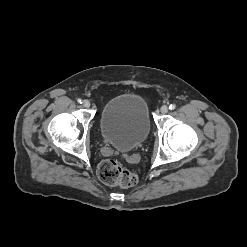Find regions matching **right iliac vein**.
<instances>
[{
  "label": "right iliac vein",
  "mask_w": 247,
  "mask_h": 247,
  "mask_svg": "<svg viewBox=\"0 0 247 247\" xmlns=\"http://www.w3.org/2000/svg\"><path fill=\"white\" fill-rule=\"evenodd\" d=\"M83 106L86 107V108H89L90 107V101L89 100H84L83 101Z\"/></svg>",
  "instance_id": "63e3f726"
}]
</instances>
